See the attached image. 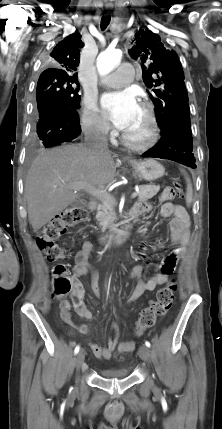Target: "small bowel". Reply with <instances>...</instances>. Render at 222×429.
<instances>
[{"mask_svg": "<svg viewBox=\"0 0 222 429\" xmlns=\"http://www.w3.org/2000/svg\"><path fill=\"white\" fill-rule=\"evenodd\" d=\"M161 201L163 204L160 209V214L163 217H172L170 221V238L172 244L175 246V249L165 257L162 263L158 266V272L149 279H145L143 277V264L133 266L125 274L124 279H133L136 281L135 289L128 299V305L133 303L144 292L154 290L157 286L164 284L168 280V277L173 273L177 262L184 258L186 254V246L189 242V215L183 206L167 202L162 197ZM150 210L151 205L149 203L139 202L135 205L132 212L136 216H139L143 213L149 212ZM142 247L144 248L145 245H142ZM92 250V243L86 241L81 245L80 249L75 255V264L72 271V277L78 287V290L74 293L72 304L64 303L60 308L62 320L69 325H72L71 305L74 306L77 313L82 318L86 320L92 319V313L83 302L82 287L77 280V277L90 273L92 290L96 296H101L98 273L89 263V256ZM77 329L84 335H87L90 332L89 327L86 325H81ZM111 330L113 331V336L109 337L105 345H99L96 343L89 344L90 350L99 359H122L124 356L129 355L135 349V342L127 341L120 343L116 352L115 349L118 343V325L116 322H112Z\"/></svg>", "mask_w": 222, "mask_h": 429, "instance_id": "obj_1", "label": "small bowel"}]
</instances>
